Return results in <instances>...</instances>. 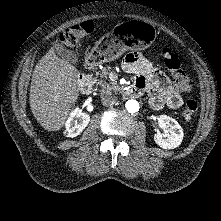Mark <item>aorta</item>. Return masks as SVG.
<instances>
[{"mask_svg": "<svg viewBox=\"0 0 221 221\" xmlns=\"http://www.w3.org/2000/svg\"><path fill=\"white\" fill-rule=\"evenodd\" d=\"M125 106L127 111L130 113H136L137 111H139V103L136 100H128Z\"/></svg>", "mask_w": 221, "mask_h": 221, "instance_id": "obj_1", "label": "aorta"}]
</instances>
